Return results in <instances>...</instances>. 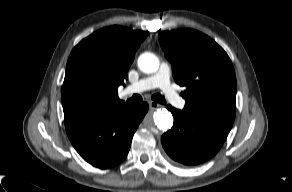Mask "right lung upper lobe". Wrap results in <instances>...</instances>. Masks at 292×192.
<instances>
[{
	"label": "right lung upper lobe",
	"mask_w": 292,
	"mask_h": 192,
	"mask_svg": "<svg viewBox=\"0 0 292 192\" xmlns=\"http://www.w3.org/2000/svg\"><path fill=\"white\" fill-rule=\"evenodd\" d=\"M148 35L121 26L102 28L72 50L62 88L64 115L107 112L126 103L118 98V86L127 80L135 52ZM83 85L85 94L76 92Z\"/></svg>",
	"instance_id": "cb5924a9"
}]
</instances>
